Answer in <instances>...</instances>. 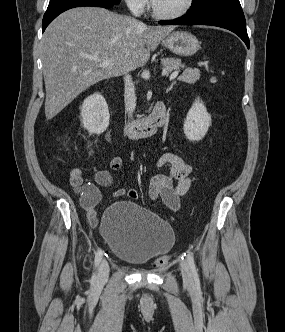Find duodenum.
I'll return each instance as SVG.
<instances>
[{
	"mask_svg": "<svg viewBox=\"0 0 285 332\" xmlns=\"http://www.w3.org/2000/svg\"><path fill=\"white\" fill-rule=\"evenodd\" d=\"M167 120V112L162 102L156 104L149 117L142 121L131 122L125 125L124 133L134 139L145 138L154 135Z\"/></svg>",
	"mask_w": 285,
	"mask_h": 332,
	"instance_id": "410a0bca",
	"label": "duodenum"
}]
</instances>
